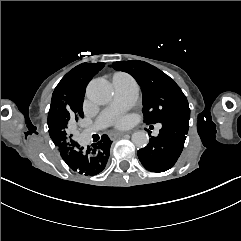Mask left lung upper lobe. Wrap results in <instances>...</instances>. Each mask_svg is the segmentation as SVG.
<instances>
[{"label": "left lung upper lobe", "instance_id": "obj_1", "mask_svg": "<svg viewBox=\"0 0 241 241\" xmlns=\"http://www.w3.org/2000/svg\"><path fill=\"white\" fill-rule=\"evenodd\" d=\"M112 67L132 75L143 93V115L146 124L189 117L188 101L180 87L164 72L140 60L120 61Z\"/></svg>", "mask_w": 241, "mask_h": 241}]
</instances>
